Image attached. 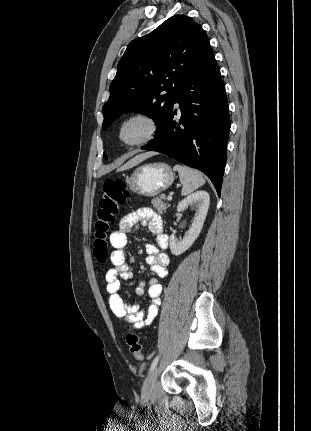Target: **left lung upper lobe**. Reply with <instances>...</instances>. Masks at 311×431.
<instances>
[{
  "mask_svg": "<svg viewBox=\"0 0 311 431\" xmlns=\"http://www.w3.org/2000/svg\"><path fill=\"white\" fill-rule=\"evenodd\" d=\"M209 49L202 27L185 15L170 17L130 42L103 106L102 129L129 110L153 118L159 129L184 79Z\"/></svg>",
  "mask_w": 311,
  "mask_h": 431,
  "instance_id": "left-lung-upper-lobe-1",
  "label": "left lung upper lobe"
}]
</instances>
